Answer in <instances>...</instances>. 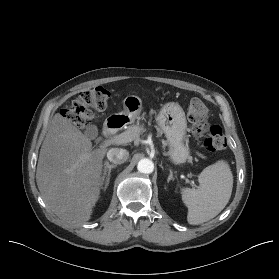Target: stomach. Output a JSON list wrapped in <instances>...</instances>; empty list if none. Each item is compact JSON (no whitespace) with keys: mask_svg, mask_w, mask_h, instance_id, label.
<instances>
[{"mask_svg":"<svg viewBox=\"0 0 279 279\" xmlns=\"http://www.w3.org/2000/svg\"><path fill=\"white\" fill-rule=\"evenodd\" d=\"M142 109L138 96L129 95L123 100V110L118 113L129 123L134 122ZM158 125L167 138L169 156L173 163H184L189 157V149L184 144L187 121L182 107L174 102L166 103L158 113Z\"/></svg>","mask_w":279,"mask_h":279,"instance_id":"0dacf381","label":"stomach"}]
</instances>
